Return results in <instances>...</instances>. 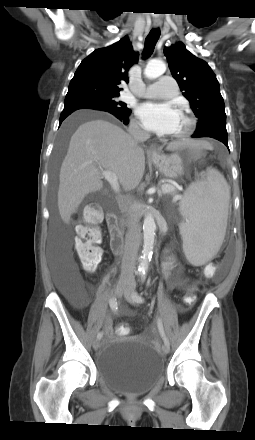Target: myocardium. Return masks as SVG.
I'll return each mask as SVG.
<instances>
[{
	"label": "myocardium",
	"mask_w": 255,
	"mask_h": 440,
	"mask_svg": "<svg viewBox=\"0 0 255 440\" xmlns=\"http://www.w3.org/2000/svg\"><path fill=\"white\" fill-rule=\"evenodd\" d=\"M181 115L184 117L186 125L180 132L173 135V137L177 139L189 136L196 126L195 118L186 109L181 110Z\"/></svg>",
	"instance_id": "myocardium-1"
}]
</instances>
